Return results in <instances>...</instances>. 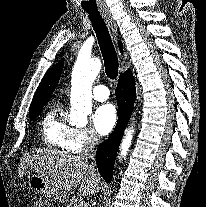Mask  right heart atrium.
I'll return each mask as SVG.
<instances>
[{
    "label": "right heart atrium",
    "mask_w": 206,
    "mask_h": 207,
    "mask_svg": "<svg viewBox=\"0 0 206 207\" xmlns=\"http://www.w3.org/2000/svg\"><path fill=\"white\" fill-rule=\"evenodd\" d=\"M97 142V136L92 129L71 127L68 136L70 150L80 152L94 147Z\"/></svg>",
    "instance_id": "obj_1"
}]
</instances>
